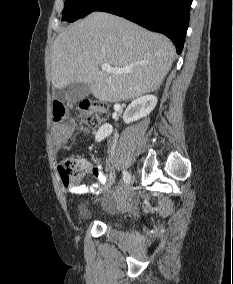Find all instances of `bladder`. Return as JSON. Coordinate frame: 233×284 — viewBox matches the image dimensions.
Here are the masks:
<instances>
[{
	"label": "bladder",
	"mask_w": 233,
	"mask_h": 284,
	"mask_svg": "<svg viewBox=\"0 0 233 284\" xmlns=\"http://www.w3.org/2000/svg\"><path fill=\"white\" fill-rule=\"evenodd\" d=\"M78 211H79V219L80 221H83V222H86L90 219V216L85 208L84 205H79L78 207ZM104 224L109 228V229H112V230H115V229H118L119 228V223L115 220H112V219H108V220H105L104 221Z\"/></svg>",
	"instance_id": "obj_1"
}]
</instances>
